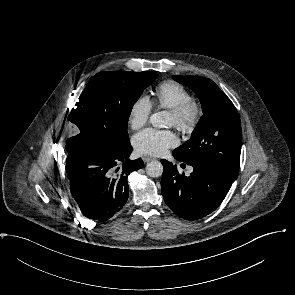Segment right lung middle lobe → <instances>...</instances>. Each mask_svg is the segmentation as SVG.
<instances>
[{"instance_id":"right-lung-middle-lobe-1","label":"right lung middle lobe","mask_w":295,"mask_h":295,"mask_svg":"<svg viewBox=\"0 0 295 295\" xmlns=\"http://www.w3.org/2000/svg\"><path fill=\"white\" fill-rule=\"evenodd\" d=\"M155 72L108 71L94 75L78 102L67 112L68 122L79 134L67 139V152L86 143L122 150L129 144L128 119L143 90L156 78Z\"/></svg>"}]
</instances>
